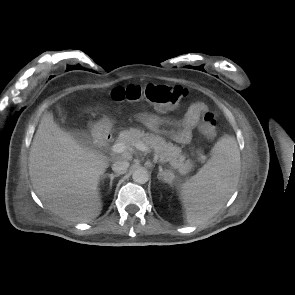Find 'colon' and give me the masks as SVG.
<instances>
[{"label": "colon", "mask_w": 295, "mask_h": 295, "mask_svg": "<svg viewBox=\"0 0 295 295\" xmlns=\"http://www.w3.org/2000/svg\"><path fill=\"white\" fill-rule=\"evenodd\" d=\"M112 100L116 102L145 101L155 107L165 110L177 107L188 95L186 89L180 86L147 84L128 85L112 89ZM199 131L207 137H212L216 131V119L211 111L204 113Z\"/></svg>", "instance_id": "obj_1"}]
</instances>
